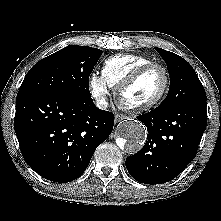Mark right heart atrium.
<instances>
[{"label": "right heart atrium", "mask_w": 221, "mask_h": 221, "mask_svg": "<svg viewBox=\"0 0 221 221\" xmlns=\"http://www.w3.org/2000/svg\"><path fill=\"white\" fill-rule=\"evenodd\" d=\"M90 92L98 106L104 107L107 104V96L109 94V85L103 76L92 73L89 77Z\"/></svg>", "instance_id": "d8ad5b80"}]
</instances>
